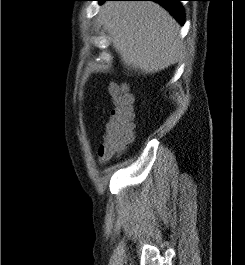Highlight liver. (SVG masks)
Instances as JSON below:
<instances>
[{
  "label": "liver",
  "instance_id": "obj_1",
  "mask_svg": "<svg viewBox=\"0 0 245 265\" xmlns=\"http://www.w3.org/2000/svg\"><path fill=\"white\" fill-rule=\"evenodd\" d=\"M99 18L130 70L154 74L182 58L180 25L157 3L108 1L102 5Z\"/></svg>",
  "mask_w": 245,
  "mask_h": 265
}]
</instances>
